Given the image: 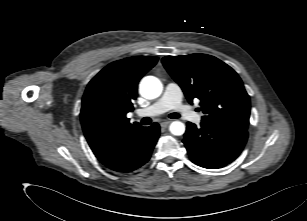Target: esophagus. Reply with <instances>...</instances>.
I'll return each mask as SVG.
<instances>
[{"mask_svg": "<svg viewBox=\"0 0 307 221\" xmlns=\"http://www.w3.org/2000/svg\"><path fill=\"white\" fill-rule=\"evenodd\" d=\"M171 123L170 120H166L160 123L161 127L166 128Z\"/></svg>", "mask_w": 307, "mask_h": 221, "instance_id": "34e87169", "label": "esophagus"}]
</instances>
